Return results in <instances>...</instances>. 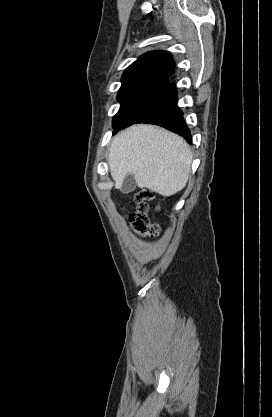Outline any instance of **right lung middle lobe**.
<instances>
[{
    "mask_svg": "<svg viewBox=\"0 0 272 417\" xmlns=\"http://www.w3.org/2000/svg\"><path fill=\"white\" fill-rule=\"evenodd\" d=\"M162 92L163 89L159 88L118 93L117 99L121 102V107L113 118V133L126 128L143 115Z\"/></svg>",
    "mask_w": 272,
    "mask_h": 417,
    "instance_id": "1",
    "label": "right lung middle lobe"
}]
</instances>
